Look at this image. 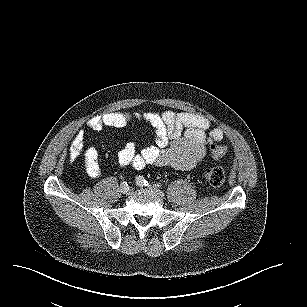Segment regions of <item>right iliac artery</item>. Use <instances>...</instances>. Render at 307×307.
Segmentation results:
<instances>
[{"label": "right iliac artery", "instance_id": "82829eb1", "mask_svg": "<svg viewBox=\"0 0 307 307\" xmlns=\"http://www.w3.org/2000/svg\"><path fill=\"white\" fill-rule=\"evenodd\" d=\"M126 186H128L127 182L121 183V187H126Z\"/></svg>", "mask_w": 307, "mask_h": 307}]
</instances>
